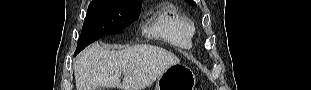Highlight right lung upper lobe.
<instances>
[{
    "mask_svg": "<svg viewBox=\"0 0 311 90\" xmlns=\"http://www.w3.org/2000/svg\"><path fill=\"white\" fill-rule=\"evenodd\" d=\"M93 1H98V0H93ZM123 1H128V2H134V3H141L143 0H123Z\"/></svg>",
    "mask_w": 311,
    "mask_h": 90,
    "instance_id": "cb5924a9",
    "label": "right lung upper lobe"
}]
</instances>
